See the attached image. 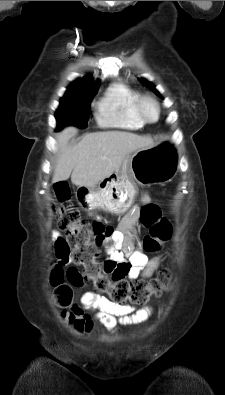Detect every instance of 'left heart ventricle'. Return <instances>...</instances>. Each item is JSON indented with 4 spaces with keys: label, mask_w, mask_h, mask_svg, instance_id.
Instances as JSON below:
<instances>
[{
    "label": "left heart ventricle",
    "mask_w": 225,
    "mask_h": 395,
    "mask_svg": "<svg viewBox=\"0 0 225 395\" xmlns=\"http://www.w3.org/2000/svg\"><path fill=\"white\" fill-rule=\"evenodd\" d=\"M146 113L151 118H153L155 116V111L151 105L146 106Z\"/></svg>",
    "instance_id": "b2bd125f"
}]
</instances>
